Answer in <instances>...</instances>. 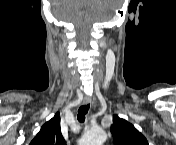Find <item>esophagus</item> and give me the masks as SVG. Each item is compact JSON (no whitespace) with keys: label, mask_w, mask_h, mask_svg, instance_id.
Returning a JSON list of instances; mask_svg holds the SVG:
<instances>
[{"label":"esophagus","mask_w":176,"mask_h":145,"mask_svg":"<svg viewBox=\"0 0 176 145\" xmlns=\"http://www.w3.org/2000/svg\"><path fill=\"white\" fill-rule=\"evenodd\" d=\"M91 102V98L89 97V96H85L84 98H83V103L84 104H89Z\"/></svg>","instance_id":"34e87169"}]
</instances>
